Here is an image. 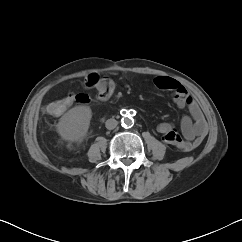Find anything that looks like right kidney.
<instances>
[{"instance_id": "obj_1", "label": "right kidney", "mask_w": 242, "mask_h": 242, "mask_svg": "<svg viewBox=\"0 0 242 242\" xmlns=\"http://www.w3.org/2000/svg\"><path fill=\"white\" fill-rule=\"evenodd\" d=\"M91 117L89 106H75L60 118L57 132L63 140L80 143L87 135Z\"/></svg>"}]
</instances>
